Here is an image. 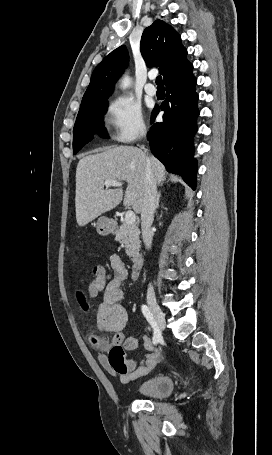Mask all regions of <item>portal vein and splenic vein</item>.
<instances>
[{"label":"portal vein and splenic vein","instance_id":"18ae733b","mask_svg":"<svg viewBox=\"0 0 272 455\" xmlns=\"http://www.w3.org/2000/svg\"><path fill=\"white\" fill-rule=\"evenodd\" d=\"M104 185L106 187L114 186V187H120L122 184L119 181L116 180H107L104 182ZM136 221V215L133 211H127L125 214V222L129 225H133Z\"/></svg>","mask_w":272,"mask_h":455}]
</instances>
